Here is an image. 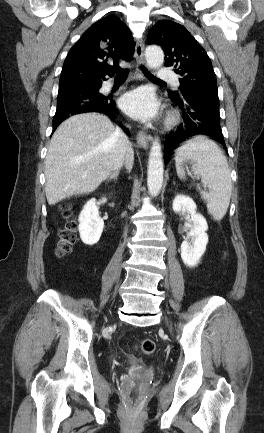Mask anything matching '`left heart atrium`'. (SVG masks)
<instances>
[{
	"mask_svg": "<svg viewBox=\"0 0 264 433\" xmlns=\"http://www.w3.org/2000/svg\"><path fill=\"white\" fill-rule=\"evenodd\" d=\"M120 105L128 115L144 121L153 118L159 109L154 94L147 88H138L125 94Z\"/></svg>",
	"mask_w": 264,
	"mask_h": 433,
	"instance_id": "39dd6f15",
	"label": "left heart atrium"
}]
</instances>
